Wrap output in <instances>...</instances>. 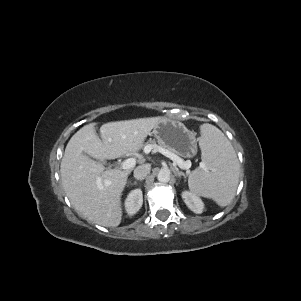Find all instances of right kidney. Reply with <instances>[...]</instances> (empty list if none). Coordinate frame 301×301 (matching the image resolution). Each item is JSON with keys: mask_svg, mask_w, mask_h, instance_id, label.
Listing matches in <instances>:
<instances>
[{"mask_svg": "<svg viewBox=\"0 0 301 301\" xmlns=\"http://www.w3.org/2000/svg\"><path fill=\"white\" fill-rule=\"evenodd\" d=\"M143 204V194L141 189L132 190L125 199V210L128 215L137 213Z\"/></svg>", "mask_w": 301, "mask_h": 301, "instance_id": "ca27d5eb", "label": "right kidney"}]
</instances>
